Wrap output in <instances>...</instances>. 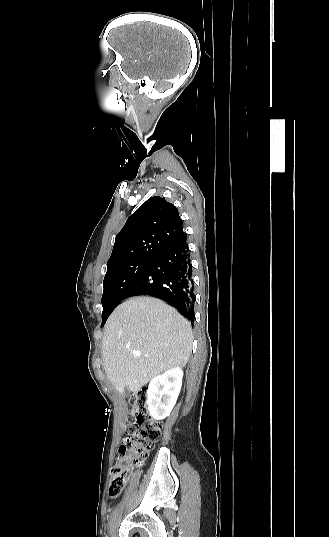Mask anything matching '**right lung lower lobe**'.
<instances>
[{"mask_svg":"<svg viewBox=\"0 0 329 537\" xmlns=\"http://www.w3.org/2000/svg\"><path fill=\"white\" fill-rule=\"evenodd\" d=\"M137 295L165 300L193 320L194 282L186 235L152 260L123 299Z\"/></svg>","mask_w":329,"mask_h":537,"instance_id":"98d812e1","label":"right lung lower lobe"}]
</instances>
